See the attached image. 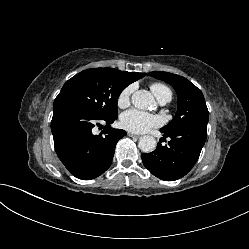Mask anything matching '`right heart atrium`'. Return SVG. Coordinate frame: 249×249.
<instances>
[{
  "instance_id": "obj_1",
  "label": "right heart atrium",
  "mask_w": 249,
  "mask_h": 249,
  "mask_svg": "<svg viewBox=\"0 0 249 249\" xmlns=\"http://www.w3.org/2000/svg\"><path fill=\"white\" fill-rule=\"evenodd\" d=\"M133 90H134V87L130 85L121 91V93L119 94L117 98V104L119 107L124 108L129 105L130 97H131Z\"/></svg>"
}]
</instances>
